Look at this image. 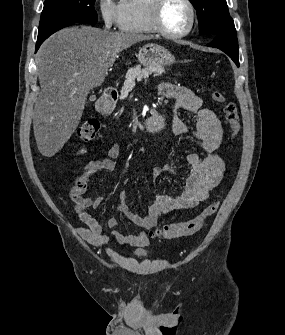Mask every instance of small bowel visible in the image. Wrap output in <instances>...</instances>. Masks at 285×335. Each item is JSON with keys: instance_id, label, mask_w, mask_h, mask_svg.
<instances>
[{"instance_id": "1", "label": "small bowel", "mask_w": 285, "mask_h": 335, "mask_svg": "<svg viewBox=\"0 0 285 335\" xmlns=\"http://www.w3.org/2000/svg\"><path fill=\"white\" fill-rule=\"evenodd\" d=\"M159 92L164 98L174 100V113L171 119L174 133L179 136L190 135L205 154L200 156L196 153H190L187 156L189 175L182 191L176 196L156 195L148 206L145 216L133 213L126 203V192L119 193V210L138 226L140 231L135 234H122L116 229L118 223L115 218L109 219L107 226L112 230V236L119 243L137 248H143L149 244L147 231L157 224L162 215L175 210L194 208L205 200L220 183L225 169L224 159L219 153L224 129L214 112L203 107L201 98L190 88L172 83H162L159 86ZM177 109H184L193 115L194 127L192 129L176 113ZM120 153V145H112L108 149L106 157L88 163L75 177L70 189V197L73 202L72 211L82 223V226L77 229L78 233L84 240L96 246L107 245L109 237L103 233L101 224L87 209L101 207L104 197L86 196L87 183L98 171L113 172L117 168L115 159ZM162 174L177 175L178 170L173 165H168L164 168H155L152 176L156 179Z\"/></svg>"}]
</instances>
